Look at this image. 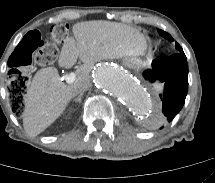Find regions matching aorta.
Segmentation results:
<instances>
[{"mask_svg":"<svg viewBox=\"0 0 215 183\" xmlns=\"http://www.w3.org/2000/svg\"><path fill=\"white\" fill-rule=\"evenodd\" d=\"M95 86L103 93L124 102L142 118L155 116L151 98L144 87L124 69L110 64L98 66L92 75Z\"/></svg>","mask_w":215,"mask_h":183,"instance_id":"1","label":"aorta"}]
</instances>
